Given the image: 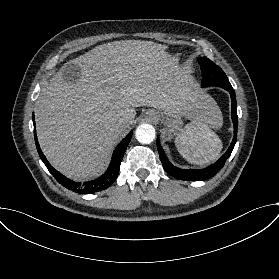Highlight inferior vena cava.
I'll list each match as a JSON object with an SVG mask.
<instances>
[{
  "instance_id": "inferior-vena-cava-1",
  "label": "inferior vena cava",
  "mask_w": 279,
  "mask_h": 279,
  "mask_svg": "<svg viewBox=\"0 0 279 279\" xmlns=\"http://www.w3.org/2000/svg\"><path fill=\"white\" fill-rule=\"evenodd\" d=\"M126 124H127V121L124 120V119H121V120H120V123H119L118 126L116 127L117 130L120 131L121 125H126Z\"/></svg>"
}]
</instances>
